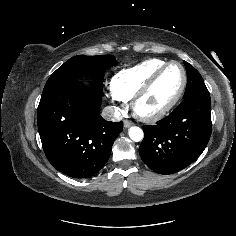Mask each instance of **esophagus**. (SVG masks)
Here are the masks:
<instances>
[{
  "label": "esophagus",
  "mask_w": 236,
  "mask_h": 236,
  "mask_svg": "<svg viewBox=\"0 0 236 236\" xmlns=\"http://www.w3.org/2000/svg\"><path fill=\"white\" fill-rule=\"evenodd\" d=\"M132 122L131 121H129V120H124V127L125 128H128V127H130V126H132Z\"/></svg>",
  "instance_id": "34e87169"
}]
</instances>
